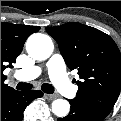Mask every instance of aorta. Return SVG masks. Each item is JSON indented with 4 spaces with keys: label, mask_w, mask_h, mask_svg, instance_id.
<instances>
[{
    "label": "aorta",
    "mask_w": 121,
    "mask_h": 121,
    "mask_svg": "<svg viewBox=\"0 0 121 121\" xmlns=\"http://www.w3.org/2000/svg\"><path fill=\"white\" fill-rule=\"evenodd\" d=\"M26 49L30 57L38 61L48 59L53 52L51 39L44 34H32L27 42ZM70 105L67 100L56 99L52 102V112L58 117H64L69 113Z\"/></svg>",
    "instance_id": "1"
}]
</instances>
